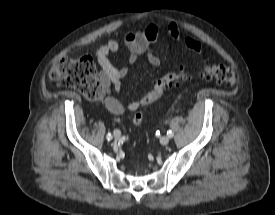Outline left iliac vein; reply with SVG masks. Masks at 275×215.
I'll use <instances>...</instances> for the list:
<instances>
[{"label":"left iliac vein","mask_w":275,"mask_h":215,"mask_svg":"<svg viewBox=\"0 0 275 215\" xmlns=\"http://www.w3.org/2000/svg\"><path fill=\"white\" fill-rule=\"evenodd\" d=\"M169 140H170L169 137L163 136V137L160 138V143L162 145H167L169 143Z\"/></svg>","instance_id":"1"}]
</instances>
